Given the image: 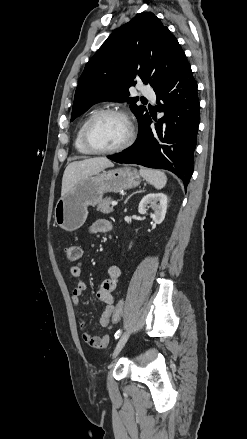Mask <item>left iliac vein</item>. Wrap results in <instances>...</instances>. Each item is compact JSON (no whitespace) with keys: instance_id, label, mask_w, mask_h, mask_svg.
I'll return each mask as SVG.
<instances>
[{"instance_id":"4c4485c4","label":"left iliac vein","mask_w":247,"mask_h":439,"mask_svg":"<svg viewBox=\"0 0 247 439\" xmlns=\"http://www.w3.org/2000/svg\"><path fill=\"white\" fill-rule=\"evenodd\" d=\"M129 335H130V331H126L121 336V338L119 339V341H118V343H117V345L115 347V350L113 352V358H115L120 353V351L122 350L123 346L127 342L128 338H129Z\"/></svg>"}]
</instances>
